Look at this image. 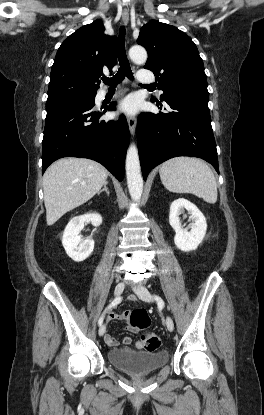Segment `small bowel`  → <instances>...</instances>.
Segmentation results:
<instances>
[{
	"label": "small bowel",
	"mask_w": 264,
	"mask_h": 415,
	"mask_svg": "<svg viewBox=\"0 0 264 415\" xmlns=\"http://www.w3.org/2000/svg\"><path fill=\"white\" fill-rule=\"evenodd\" d=\"M129 318V314L126 312H119V313H115V312H110L107 316L108 321H114V320H121V321H127ZM125 329L129 332L132 333H137L139 331L138 328L132 326V325H127L125 327ZM105 342L107 345H109L110 347H118L120 345V342L118 340H116L111 334L109 333H105ZM132 342L131 337L129 336H125L122 339V344L124 345H130ZM135 348L136 349H143V345L141 341H137L135 343Z\"/></svg>",
	"instance_id": "c3829d8e"
}]
</instances>
